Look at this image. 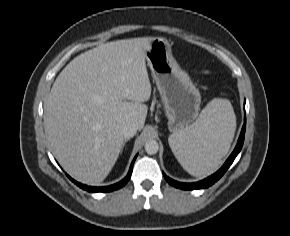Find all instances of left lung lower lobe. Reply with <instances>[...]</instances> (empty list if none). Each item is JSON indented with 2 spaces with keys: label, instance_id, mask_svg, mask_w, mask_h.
Here are the masks:
<instances>
[{
  "label": "left lung lower lobe",
  "instance_id": "left-lung-lower-lobe-1",
  "mask_svg": "<svg viewBox=\"0 0 290 236\" xmlns=\"http://www.w3.org/2000/svg\"><path fill=\"white\" fill-rule=\"evenodd\" d=\"M245 129H246V115L244 116V124H243L242 130H241V134H240V137L238 139V142H237V145H236L234 151L229 156V158L226 160L224 165L215 174L209 176L208 178H206V179H204L202 181L195 182V183L177 182V181L172 180L171 178L167 177L164 174L165 179L172 186L180 188V189H184V190H196V189H201V188H207V187L213 185L216 181H218L223 176V174L231 166V164L233 163L234 159L236 158V156L240 152V150H241V148L243 146V142H244Z\"/></svg>",
  "mask_w": 290,
  "mask_h": 236
}]
</instances>
